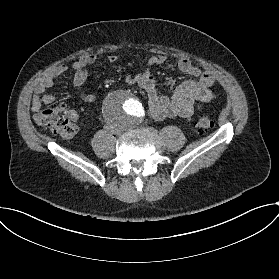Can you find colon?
Here are the masks:
<instances>
[{
    "mask_svg": "<svg viewBox=\"0 0 279 279\" xmlns=\"http://www.w3.org/2000/svg\"><path fill=\"white\" fill-rule=\"evenodd\" d=\"M74 114L64 108L43 109L37 116L38 124L49 129L63 138H70L76 132V126L73 122ZM214 126L212 117L208 114H202L197 121V130L200 133H206Z\"/></svg>",
    "mask_w": 279,
    "mask_h": 279,
    "instance_id": "1",
    "label": "colon"
}]
</instances>
